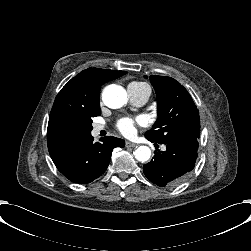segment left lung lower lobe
Instances as JSON below:
<instances>
[{
  "label": "left lung lower lobe",
  "mask_w": 251,
  "mask_h": 251,
  "mask_svg": "<svg viewBox=\"0 0 251 251\" xmlns=\"http://www.w3.org/2000/svg\"><path fill=\"white\" fill-rule=\"evenodd\" d=\"M165 145L166 151H155L153 159L143 166V172L152 183L172 187L181 183L195 167L198 141H178Z\"/></svg>",
  "instance_id": "obj_1"
}]
</instances>
